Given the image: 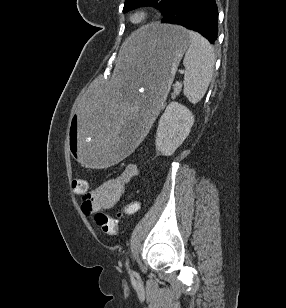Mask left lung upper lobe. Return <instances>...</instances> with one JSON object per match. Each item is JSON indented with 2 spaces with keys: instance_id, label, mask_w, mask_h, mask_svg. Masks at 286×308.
Segmentation results:
<instances>
[{
  "instance_id": "1",
  "label": "left lung upper lobe",
  "mask_w": 286,
  "mask_h": 308,
  "mask_svg": "<svg viewBox=\"0 0 286 308\" xmlns=\"http://www.w3.org/2000/svg\"><path fill=\"white\" fill-rule=\"evenodd\" d=\"M171 1L172 0H126L124 3L123 12H127L140 6H153L164 14Z\"/></svg>"
}]
</instances>
